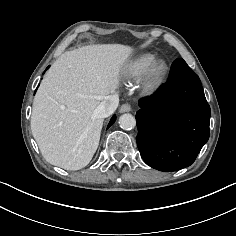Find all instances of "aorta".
I'll list each match as a JSON object with an SVG mask.
<instances>
[{
	"mask_svg": "<svg viewBox=\"0 0 236 236\" xmlns=\"http://www.w3.org/2000/svg\"><path fill=\"white\" fill-rule=\"evenodd\" d=\"M119 125L124 130H131L136 126L135 117L129 113L119 117Z\"/></svg>",
	"mask_w": 236,
	"mask_h": 236,
	"instance_id": "1",
	"label": "aorta"
}]
</instances>
